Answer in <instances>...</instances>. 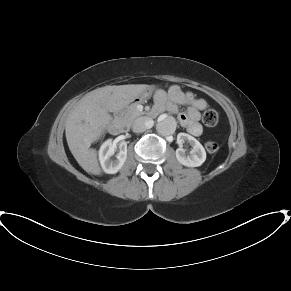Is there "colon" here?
<instances>
[{
    "instance_id": "5ec220e1",
    "label": "colon",
    "mask_w": 291,
    "mask_h": 291,
    "mask_svg": "<svg viewBox=\"0 0 291 291\" xmlns=\"http://www.w3.org/2000/svg\"><path fill=\"white\" fill-rule=\"evenodd\" d=\"M203 123L208 127L216 126L219 122V114L214 109H208L204 111L202 115ZM205 148L208 153L212 154L217 152L219 145L215 141H207Z\"/></svg>"
}]
</instances>
